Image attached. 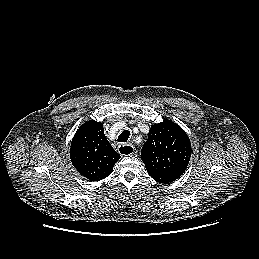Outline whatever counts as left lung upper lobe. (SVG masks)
Wrapping results in <instances>:
<instances>
[{
  "instance_id": "obj_1",
  "label": "left lung upper lobe",
  "mask_w": 259,
  "mask_h": 259,
  "mask_svg": "<svg viewBox=\"0 0 259 259\" xmlns=\"http://www.w3.org/2000/svg\"><path fill=\"white\" fill-rule=\"evenodd\" d=\"M191 143L185 131L176 123L164 120L154 124L141 150V158L148 174L155 180L179 178L185 172Z\"/></svg>"
}]
</instances>
